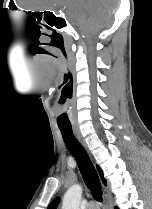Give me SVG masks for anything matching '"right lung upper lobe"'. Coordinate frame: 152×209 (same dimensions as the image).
<instances>
[{"mask_svg": "<svg viewBox=\"0 0 152 209\" xmlns=\"http://www.w3.org/2000/svg\"><path fill=\"white\" fill-rule=\"evenodd\" d=\"M97 169L100 173V176H101V179H102V182L104 183V185H106V180L103 178V171L101 170V168L99 166H97ZM59 203V198H56L52 201V203L48 206L47 209H56L57 208V205Z\"/></svg>", "mask_w": 152, "mask_h": 209, "instance_id": "cb5924a9", "label": "right lung upper lobe"}]
</instances>
